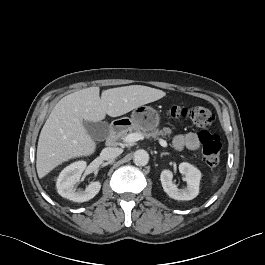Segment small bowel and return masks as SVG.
Here are the masks:
<instances>
[{
    "label": "small bowel",
    "mask_w": 265,
    "mask_h": 265,
    "mask_svg": "<svg viewBox=\"0 0 265 265\" xmlns=\"http://www.w3.org/2000/svg\"><path fill=\"white\" fill-rule=\"evenodd\" d=\"M200 141L199 136L195 133H186L177 135L174 138V146L178 150L189 149L196 150L199 148Z\"/></svg>",
    "instance_id": "1"
}]
</instances>
